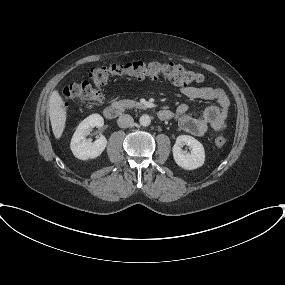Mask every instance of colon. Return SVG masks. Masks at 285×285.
<instances>
[{
    "label": "colon",
    "instance_id": "5ec220e1",
    "mask_svg": "<svg viewBox=\"0 0 285 285\" xmlns=\"http://www.w3.org/2000/svg\"><path fill=\"white\" fill-rule=\"evenodd\" d=\"M128 77L133 79H167L177 85L188 86L204 81V76L173 62H131L126 64L114 63L108 66H96L89 72L88 81L72 83L65 87L63 96L65 101L79 100L94 102L101 98L102 88L111 78ZM217 147H223L226 139L218 136L214 140Z\"/></svg>",
    "mask_w": 285,
    "mask_h": 285
}]
</instances>
